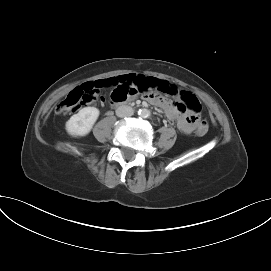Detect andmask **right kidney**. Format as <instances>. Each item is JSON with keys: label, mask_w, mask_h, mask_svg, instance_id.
<instances>
[{"label": "right kidney", "mask_w": 271, "mask_h": 271, "mask_svg": "<svg viewBox=\"0 0 271 271\" xmlns=\"http://www.w3.org/2000/svg\"><path fill=\"white\" fill-rule=\"evenodd\" d=\"M99 110L95 107H85L71 116L66 122V130L72 136L87 135L99 117Z\"/></svg>", "instance_id": "right-kidney-1"}]
</instances>
